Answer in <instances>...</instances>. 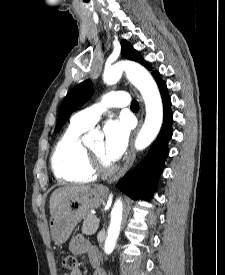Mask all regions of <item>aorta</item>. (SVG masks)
<instances>
[{
    "instance_id": "1",
    "label": "aorta",
    "mask_w": 225,
    "mask_h": 275,
    "mask_svg": "<svg viewBox=\"0 0 225 275\" xmlns=\"http://www.w3.org/2000/svg\"><path fill=\"white\" fill-rule=\"evenodd\" d=\"M125 72L127 79L140 91L146 107L144 124L135 140V148L143 150L148 147L157 137L163 123V105L155 80L151 74L141 65L134 62H120L107 68L103 74L106 84H115ZM86 143L90 136L85 137ZM123 205L118 199L110 214V224L107 238L104 244L106 254L113 252L120 233L122 222Z\"/></svg>"
}]
</instances>
